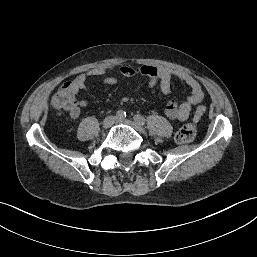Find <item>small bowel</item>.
I'll list each match as a JSON object with an SVG mask.
<instances>
[{
  "label": "small bowel",
  "mask_w": 257,
  "mask_h": 257,
  "mask_svg": "<svg viewBox=\"0 0 257 257\" xmlns=\"http://www.w3.org/2000/svg\"><path fill=\"white\" fill-rule=\"evenodd\" d=\"M112 70L113 67L104 66L91 69L86 73L78 75L70 85L72 93L75 95L80 91L88 89L89 81L92 78H100L103 85L111 86L118 84L119 80L110 75ZM118 72L125 78H131L136 75L145 76L148 78L149 87H158L160 92L164 95L170 93L171 85L174 80L185 84L190 89V93L186 98L181 102L172 99L166 104L165 114L171 120L185 121L188 119L192 110L197 107L193 116V121L198 123L206 111L205 106L200 105L204 98V92L199 81L184 71L166 67L157 68L151 65H142L139 67L122 66L118 69ZM87 106V100H79L77 102L76 110L70 111V116L74 119L78 118L81 115L82 109Z\"/></svg>",
  "instance_id": "obj_1"
}]
</instances>
